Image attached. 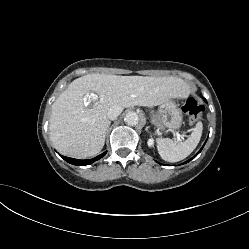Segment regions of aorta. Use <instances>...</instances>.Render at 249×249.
<instances>
[{"instance_id": "obj_1", "label": "aorta", "mask_w": 249, "mask_h": 249, "mask_svg": "<svg viewBox=\"0 0 249 249\" xmlns=\"http://www.w3.org/2000/svg\"><path fill=\"white\" fill-rule=\"evenodd\" d=\"M124 121L131 126L137 125L139 122V116L136 112H128L125 115Z\"/></svg>"}]
</instances>
